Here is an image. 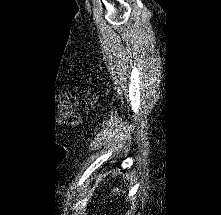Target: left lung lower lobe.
I'll list each match as a JSON object with an SVG mask.
<instances>
[{
    "mask_svg": "<svg viewBox=\"0 0 221 215\" xmlns=\"http://www.w3.org/2000/svg\"><path fill=\"white\" fill-rule=\"evenodd\" d=\"M118 167H120V163H118V165H117Z\"/></svg>",
    "mask_w": 221,
    "mask_h": 215,
    "instance_id": "left-lung-lower-lobe-1",
    "label": "left lung lower lobe"
}]
</instances>
